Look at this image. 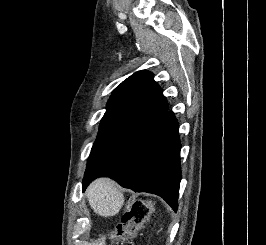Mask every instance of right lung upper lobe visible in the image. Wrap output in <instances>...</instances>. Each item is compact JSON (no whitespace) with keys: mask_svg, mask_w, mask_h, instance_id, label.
<instances>
[{"mask_svg":"<svg viewBox=\"0 0 266 245\" xmlns=\"http://www.w3.org/2000/svg\"><path fill=\"white\" fill-rule=\"evenodd\" d=\"M168 110L152 73L142 70L124 80L112 93L105 117L147 121Z\"/></svg>","mask_w":266,"mask_h":245,"instance_id":"cb5924a9","label":"right lung upper lobe"}]
</instances>
